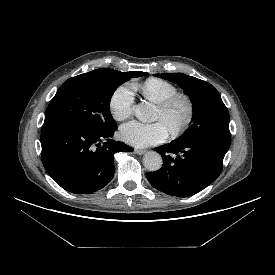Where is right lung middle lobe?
<instances>
[{
  "label": "right lung middle lobe",
  "mask_w": 275,
  "mask_h": 275,
  "mask_svg": "<svg viewBox=\"0 0 275 275\" xmlns=\"http://www.w3.org/2000/svg\"><path fill=\"white\" fill-rule=\"evenodd\" d=\"M133 76L127 72L101 68L65 81L51 100L44 123L69 122L93 129L115 126L109 112V100L118 86Z\"/></svg>",
  "instance_id": "obj_1"
}]
</instances>
